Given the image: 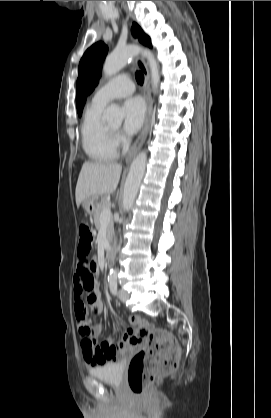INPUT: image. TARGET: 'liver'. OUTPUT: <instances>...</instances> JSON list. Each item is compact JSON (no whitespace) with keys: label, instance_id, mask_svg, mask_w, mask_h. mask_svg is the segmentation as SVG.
Returning a JSON list of instances; mask_svg holds the SVG:
<instances>
[{"label":"liver","instance_id":"1","mask_svg":"<svg viewBox=\"0 0 271 418\" xmlns=\"http://www.w3.org/2000/svg\"><path fill=\"white\" fill-rule=\"evenodd\" d=\"M121 171L122 167L117 163L84 162L75 191L77 207L88 197L113 193Z\"/></svg>","mask_w":271,"mask_h":418}]
</instances>
